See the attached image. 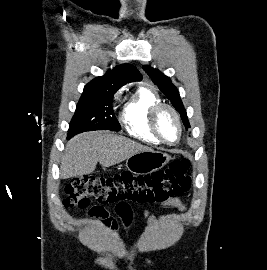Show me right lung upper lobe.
Segmentation results:
<instances>
[{"mask_svg":"<svg viewBox=\"0 0 267 270\" xmlns=\"http://www.w3.org/2000/svg\"><path fill=\"white\" fill-rule=\"evenodd\" d=\"M141 79L142 75L135 66L131 64H122L108 71L104 76L97 77L92 81H90L84 87V90H93V89L118 90L127 83L140 81Z\"/></svg>","mask_w":267,"mask_h":270,"instance_id":"cb5924a9","label":"right lung upper lobe"}]
</instances>
